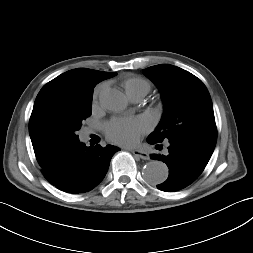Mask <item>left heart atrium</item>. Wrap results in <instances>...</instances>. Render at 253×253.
Segmentation results:
<instances>
[{"instance_id": "39dd6f15", "label": "left heart atrium", "mask_w": 253, "mask_h": 253, "mask_svg": "<svg viewBox=\"0 0 253 253\" xmlns=\"http://www.w3.org/2000/svg\"><path fill=\"white\" fill-rule=\"evenodd\" d=\"M150 126V122L144 117L117 118L107 123L105 133L115 143L132 145Z\"/></svg>"}]
</instances>
